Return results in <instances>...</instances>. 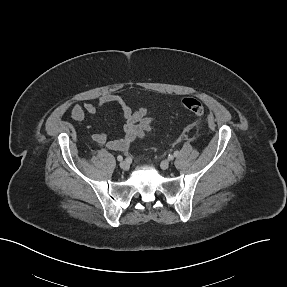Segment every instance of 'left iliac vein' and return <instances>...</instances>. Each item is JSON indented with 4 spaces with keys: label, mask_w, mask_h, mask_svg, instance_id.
<instances>
[{
    "label": "left iliac vein",
    "mask_w": 287,
    "mask_h": 287,
    "mask_svg": "<svg viewBox=\"0 0 287 287\" xmlns=\"http://www.w3.org/2000/svg\"><path fill=\"white\" fill-rule=\"evenodd\" d=\"M169 165H170V162H169L168 160H163V161H161V163H160V167H161V169H163V170L168 169V168H169Z\"/></svg>",
    "instance_id": "obj_1"
}]
</instances>
